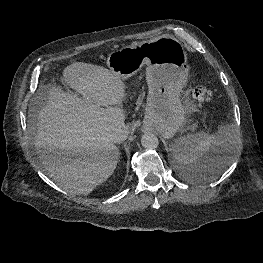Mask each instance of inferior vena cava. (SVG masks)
<instances>
[{
	"label": "inferior vena cava",
	"mask_w": 263,
	"mask_h": 263,
	"mask_svg": "<svg viewBox=\"0 0 263 263\" xmlns=\"http://www.w3.org/2000/svg\"><path fill=\"white\" fill-rule=\"evenodd\" d=\"M129 131L125 125L117 127L111 134V139L114 143H122L128 137Z\"/></svg>",
	"instance_id": "602c4592"
}]
</instances>
